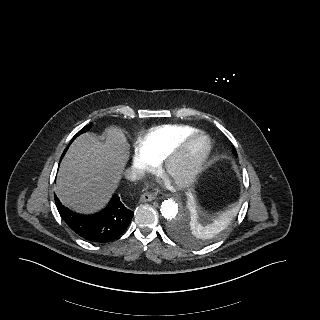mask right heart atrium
I'll return each instance as SVG.
<instances>
[{
  "mask_svg": "<svg viewBox=\"0 0 320 320\" xmlns=\"http://www.w3.org/2000/svg\"><path fill=\"white\" fill-rule=\"evenodd\" d=\"M131 164L134 169L145 172L154 168L155 163L143 155L138 149L132 155Z\"/></svg>",
  "mask_w": 320,
  "mask_h": 320,
  "instance_id": "1",
  "label": "right heart atrium"
}]
</instances>
